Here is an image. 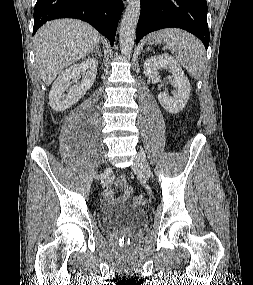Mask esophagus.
Returning <instances> with one entry per match:
<instances>
[{"label": "esophagus", "instance_id": "1", "mask_svg": "<svg viewBox=\"0 0 253 285\" xmlns=\"http://www.w3.org/2000/svg\"><path fill=\"white\" fill-rule=\"evenodd\" d=\"M124 5H127L129 3V0H123Z\"/></svg>", "mask_w": 253, "mask_h": 285}]
</instances>
